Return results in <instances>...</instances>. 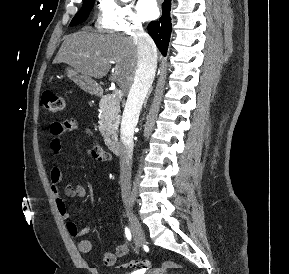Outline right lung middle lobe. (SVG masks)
Masks as SVG:
<instances>
[{
	"instance_id": "right-lung-middle-lobe-1",
	"label": "right lung middle lobe",
	"mask_w": 289,
	"mask_h": 274,
	"mask_svg": "<svg viewBox=\"0 0 289 274\" xmlns=\"http://www.w3.org/2000/svg\"><path fill=\"white\" fill-rule=\"evenodd\" d=\"M94 2L95 0H84L81 10L78 12L77 15L74 16L70 25H77L84 22L87 19L90 11L92 10Z\"/></svg>"
}]
</instances>
